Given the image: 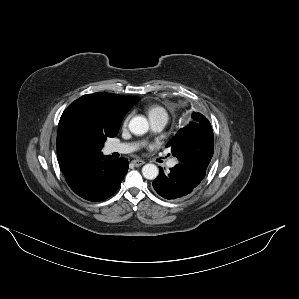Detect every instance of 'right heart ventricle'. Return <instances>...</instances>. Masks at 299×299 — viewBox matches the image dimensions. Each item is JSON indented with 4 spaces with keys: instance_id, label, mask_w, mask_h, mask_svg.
<instances>
[{
    "instance_id": "e07e8e85",
    "label": "right heart ventricle",
    "mask_w": 299,
    "mask_h": 299,
    "mask_svg": "<svg viewBox=\"0 0 299 299\" xmlns=\"http://www.w3.org/2000/svg\"><path fill=\"white\" fill-rule=\"evenodd\" d=\"M146 113L149 117V119L151 118H154L158 115H161V114H166V110L160 106V105H157V104H150L146 107Z\"/></svg>"
}]
</instances>
